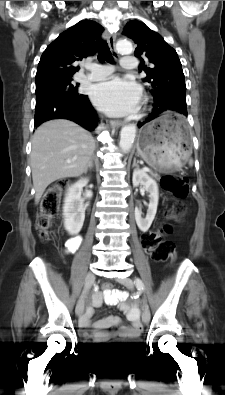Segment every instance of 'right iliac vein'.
<instances>
[{
	"label": "right iliac vein",
	"instance_id": "1",
	"mask_svg": "<svg viewBox=\"0 0 225 395\" xmlns=\"http://www.w3.org/2000/svg\"><path fill=\"white\" fill-rule=\"evenodd\" d=\"M93 282H94V274L92 272H89L85 279L83 292L76 305L75 313L77 316H80L84 311L85 298Z\"/></svg>",
	"mask_w": 225,
	"mask_h": 395
}]
</instances>
